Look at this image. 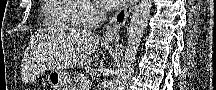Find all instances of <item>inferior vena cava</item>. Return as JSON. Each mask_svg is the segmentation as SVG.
<instances>
[{
  "label": "inferior vena cava",
  "instance_id": "602c4592",
  "mask_svg": "<svg viewBox=\"0 0 216 90\" xmlns=\"http://www.w3.org/2000/svg\"><path fill=\"white\" fill-rule=\"evenodd\" d=\"M107 14L105 12V10H99L98 12V18H101V20H105Z\"/></svg>",
  "mask_w": 216,
  "mask_h": 90
}]
</instances>
